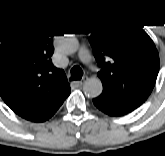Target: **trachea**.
Masks as SVG:
<instances>
[{
  "mask_svg": "<svg viewBox=\"0 0 165 156\" xmlns=\"http://www.w3.org/2000/svg\"><path fill=\"white\" fill-rule=\"evenodd\" d=\"M70 72H71L70 80H80L83 76V71L79 66H74Z\"/></svg>",
  "mask_w": 165,
  "mask_h": 156,
  "instance_id": "3493384b",
  "label": "trachea"
}]
</instances>
